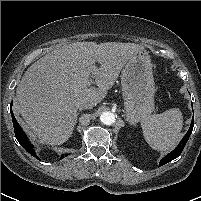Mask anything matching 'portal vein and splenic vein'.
<instances>
[{
  "label": "portal vein and splenic vein",
  "mask_w": 201,
  "mask_h": 201,
  "mask_svg": "<svg viewBox=\"0 0 201 201\" xmlns=\"http://www.w3.org/2000/svg\"><path fill=\"white\" fill-rule=\"evenodd\" d=\"M97 67L95 65L92 66V75L91 78L88 80V85H91L93 83V79L95 77V75L97 74Z\"/></svg>",
  "instance_id": "1"
}]
</instances>
